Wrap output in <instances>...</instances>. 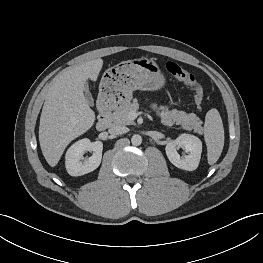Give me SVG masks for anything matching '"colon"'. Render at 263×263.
Here are the masks:
<instances>
[{
  "mask_svg": "<svg viewBox=\"0 0 263 263\" xmlns=\"http://www.w3.org/2000/svg\"><path fill=\"white\" fill-rule=\"evenodd\" d=\"M166 69L171 76L185 83L192 90L197 105L201 107L204 102V92L194 75L173 61L167 62Z\"/></svg>",
  "mask_w": 263,
  "mask_h": 263,
  "instance_id": "1",
  "label": "colon"
}]
</instances>
